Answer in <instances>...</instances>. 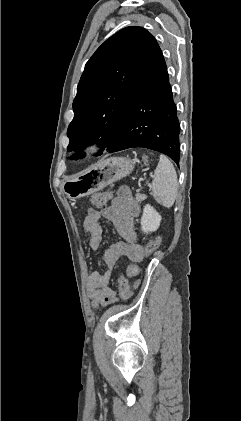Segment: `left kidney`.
Wrapping results in <instances>:
<instances>
[{"label": "left kidney", "instance_id": "obj_1", "mask_svg": "<svg viewBox=\"0 0 241 421\" xmlns=\"http://www.w3.org/2000/svg\"><path fill=\"white\" fill-rule=\"evenodd\" d=\"M161 215L149 204L143 209L141 217V230L144 233L156 231L161 222Z\"/></svg>", "mask_w": 241, "mask_h": 421}]
</instances>
